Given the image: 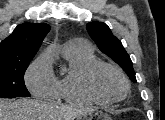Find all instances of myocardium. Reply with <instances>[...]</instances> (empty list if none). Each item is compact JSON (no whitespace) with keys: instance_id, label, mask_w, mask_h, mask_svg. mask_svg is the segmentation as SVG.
Segmentation results:
<instances>
[{"instance_id":"f54148a6","label":"myocardium","mask_w":165,"mask_h":120,"mask_svg":"<svg viewBox=\"0 0 165 120\" xmlns=\"http://www.w3.org/2000/svg\"><path fill=\"white\" fill-rule=\"evenodd\" d=\"M104 68H108L115 71L121 77L124 83V93L120 97H105L97 91L95 87V77L99 73V71ZM83 89L85 93L93 100L103 104H112L122 101L127 96L130 90V83L126 74L119 66L110 62L97 61L92 64L85 72L83 78Z\"/></svg>"}]
</instances>
